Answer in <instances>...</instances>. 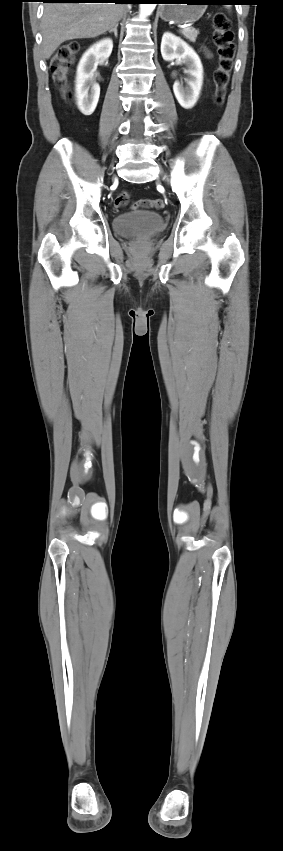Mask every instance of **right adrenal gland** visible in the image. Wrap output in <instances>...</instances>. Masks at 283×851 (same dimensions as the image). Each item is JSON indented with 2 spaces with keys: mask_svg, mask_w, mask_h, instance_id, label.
Here are the masks:
<instances>
[{
  "mask_svg": "<svg viewBox=\"0 0 283 851\" xmlns=\"http://www.w3.org/2000/svg\"><path fill=\"white\" fill-rule=\"evenodd\" d=\"M117 28H118V23L114 26V28H112V29H110V30H109V33H112V32H113L116 38L118 37V31H117Z\"/></svg>",
  "mask_w": 283,
  "mask_h": 851,
  "instance_id": "1",
  "label": "right adrenal gland"
}]
</instances>
